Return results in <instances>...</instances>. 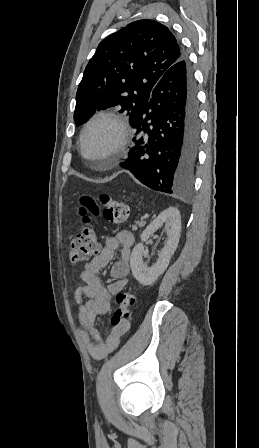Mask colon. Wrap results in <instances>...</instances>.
<instances>
[{
  "label": "colon",
  "mask_w": 259,
  "mask_h": 448,
  "mask_svg": "<svg viewBox=\"0 0 259 448\" xmlns=\"http://www.w3.org/2000/svg\"><path fill=\"white\" fill-rule=\"evenodd\" d=\"M79 213L82 217L83 230L71 239L68 245L69 256L73 262L85 261L98 251L96 234L90 226V215H101L111 223L121 224L129 217V207L107 193H101L97 199L84 194L80 198ZM134 303L135 295L131 288L117 293L116 308L111 319L113 326H119L128 319L130 308Z\"/></svg>",
  "instance_id": "obj_1"
}]
</instances>
